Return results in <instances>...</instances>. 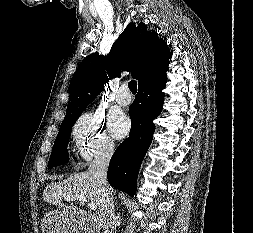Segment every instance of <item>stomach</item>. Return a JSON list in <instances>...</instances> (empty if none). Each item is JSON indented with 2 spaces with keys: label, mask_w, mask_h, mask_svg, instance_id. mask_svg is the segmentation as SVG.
Wrapping results in <instances>:
<instances>
[{
  "label": "stomach",
  "mask_w": 253,
  "mask_h": 233,
  "mask_svg": "<svg viewBox=\"0 0 253 233\" xmlns=\"http://www.w3.org/2000/svg\"><path fill=\"white\" fill-rule=\"evenodd\" d=\"M41 227L43 233H81L72 210L50 212L43 218Z\"/></svg>",
  "instance_id": "stomach-1"
}]
</instances>
